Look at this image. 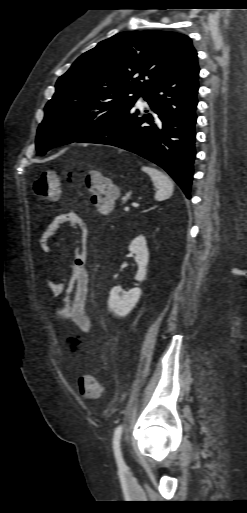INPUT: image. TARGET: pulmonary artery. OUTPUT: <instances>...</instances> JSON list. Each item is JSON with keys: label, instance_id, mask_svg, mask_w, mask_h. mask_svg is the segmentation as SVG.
Listing matches in <instances>:
<instances>
[{"label": "pulmonary artery", "instance_id": "e3ab8cb5", "mask_svg": "<svg viewBox=\"0 0 247 513\" xmlns=\"http://www.w3.org/2000/svg\"><path fill=\"white\" fill-rule=\"evenodd\" d=\"M138 100L139 102H144L143 96L141 95Z\"/></svg>", "mask_w": 247, "mask_h": 513}]
</instances>
